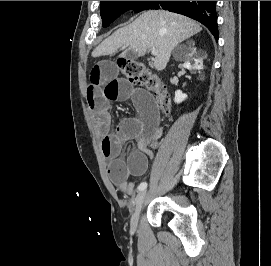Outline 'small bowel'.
<instances>
[{"label": "small bowel", "instance_id": "c3829d8e", "mask_svg": "<svg viewBox=\"0 0 271 266\" xmlns=\"http://www.w3.org/2000/svg\"><path fill=\"white\" fill-rule=\"evenodd\" d=\"M86 99L93 111L95 130L102 137V152L110 160L108 172L111 180L121 191L131 195L135 185L130 179L147 171L150 155L148 145L161 135L152 97L120 78L113 62L102 61L91 70ZM127 100L135 106L137 116L121 120L112 130L109 108L115 101ZM130 140L137 141V149L124 159L121 157L122 146Z\"/></svg>", "mask_w": 271, "mask_h": 266}]
</instances>
